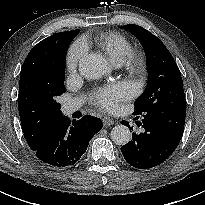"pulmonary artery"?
Wrapping results in <instances>:
<instances>
[{
	"label": "pulmonary artery",
	"mask_w": 205,
	"mask_h": 205,
	"mask_svg": "<svg viewBox=\"0 0 205 205\" xmlns=\"http://www.w3.org/2000/svg\"><path fill=\"white\" fill-rule=\"evenodd\" d=\"M82 101L80 99H73L63 105V113L66 115L72 114L80 108Z\"/></svg>",
	"instance_id": "obj_1"
}]
</instances>
